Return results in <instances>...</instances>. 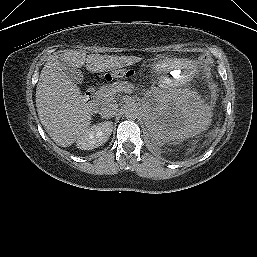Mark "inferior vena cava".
I'll return each mask as SVG.
<instances>
[{
	"label": "inferior vena cava",
	"mask_w": 257,
	"mask_h": 257,
	"mask_svg": "<svg viewBox=\"0 0 257 257\" xmlns=\"http://www.w3.org/2000/svg\"><path fill=\"white\" fill-rule=\"evenodd\" d=\"M118 111V104L106 103L100 108L99 114L104 118L113 117Z\"/></svg>",
	"instance_id": "1"
}]
</instances>
